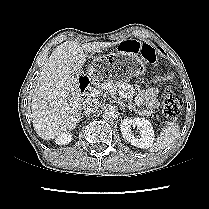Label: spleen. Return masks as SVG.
<instances>
[{
    "mask_svg": "<svg viewBox=\"0 0 209 209\" xmlns=\"http://www.w3.org/2000/svg\"><path fill=\"white\" fill-rule=\"evenodd\" d=\"M179 134L180 130L178 126L174 124L165 126L151 146V151L157 152L170 146L178 138Z\"/></svg>",
    "mask_w": 209,
    "mask_h": 209,
    "instance_id": "obj_1",
    "label": "spleen"
}]
</instances>
